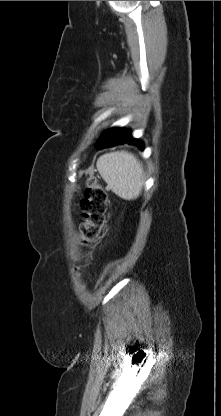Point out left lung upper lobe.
<instances>
[{"mask_svg": "<svg viewBox=\"0 0 221 416\" xmlns=\"http://www.w3.org/2000/svg\"><path fill=\"white\" fill-rule=\"evenodd\" d=\"M129 132L121 129V128H112L109 129L107 131H105V133L103 134V136L99 139L100 142H105V141H113L117 138L120 137H124L126 135H128Z\"/></svg>", "mask_w": 221, "mask_h": 416, "instance_id": "left-lung-upper-lobe-1", "label": "left lung upper lobe"}]
</instances>
